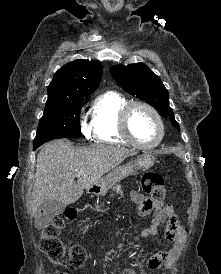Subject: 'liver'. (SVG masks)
Instances as JSON below:
<instances>
[{"label": "liver", "mask_w": 221, "mask_h": 274, "mask_svg": "<svg viewBox=\"0 0 221 274\" xmlns=\"http://www.w3.org/2000/svg\"><path fill=\"white\" fill-rule=\"evenodd\" d=\"M134 154L133 150L104 144L75 147L64 140L47 143L37 156L31 215L35 216L39 206L47 200L65 205L76 202L84 189L97 184L104 174ZM79 171L83 175L76 182Z\"/></svg>", "instance_id": "6515ba94"}]
</instances>
